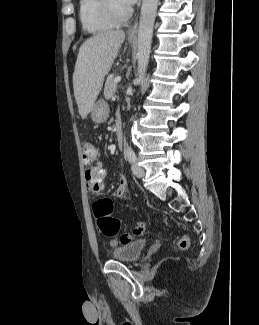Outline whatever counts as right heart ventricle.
<instances>
[{
    "label": "right heart ventricle",
    "instance_id": "e07e8e85",
    "mask_svg": "<svg viewBox=\"0 0 259 325\" xmlns=\"http://www.w3.org/2000/svg\"><path fill=\"white\" fill-rule=\"evenodd\" d=\"M100 0H79L78 16L81 28L88 34H98L111 29L115 23L105 18Z\"/></svg>",
    "mask_w": 259,
    "mask_h": 325
}]
</instances>
